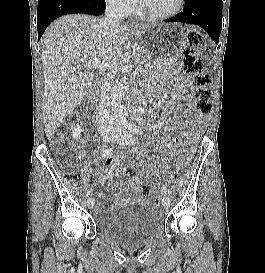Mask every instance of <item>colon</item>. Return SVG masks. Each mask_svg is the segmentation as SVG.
Returning a JSON list of instances; mask_svg holds the SVG:
<instances>
[{"label":"colon","instance_id":"5ec220e1","mask_svg":"<svg viewBox=\"0 0 265 273\" xmlns=\"http://www.w3.org/2000/svg\"><path fill=\"white\" fill-rule=\"evenodd\" d=\"M205 46L202 35L197 31H192L188 33L187 36V46L182 50V64L185 72L192 74L194 76V83L196 86V110L200 114H209L212 110L211 104V77L208 73L204 71L203 63L200 58V54ZM156 116H150L149 121H154ZM66 129L60 127L51 134V141L60 147V154L65 155L67 148L63 144L64 134ZM77 154H71L67 160L66 165L74 170L77 167ZM127 176H134L136 174V169L133 166H127L125 169ZM143 191L146 194L152 196L157 195L156 188L150 183H146L143 186Z\"/></svg>","mask_w":265,"mask_h":273}]
</instances>
